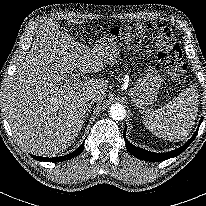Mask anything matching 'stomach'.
<instances>
[{"label":"stomach","mask_w":206,"mask_h":206,"mask_svg":"<svg viewBox=\"0 0 206 206\" xmlns=\"http://www.w3.org/2000/svg\"><path fill=\"white\" fill-rule=\"evenodd\" d=\"M96 46L105 52L110 63L117 58L121 51L116 36L110 33L103 34ZM161 84L162 78L158 70L152 65H147L142 76L136 80L133 88L129 91L134 106L144 109L145 106L153 105L158 98Z\"/></svg>","instance_id":"stomach-1"}]
</instances>
